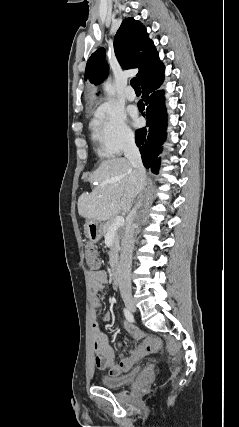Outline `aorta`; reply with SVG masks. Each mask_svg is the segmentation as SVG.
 <instances>
[{
    "mask_svg": "<svg viewBox=\"0 0 239 427\" xmlns=\"http://www.w3.org/2000/svg\"><path fill=\"white\" fill-rule=\"evenodd\" d=\"M104 91L106 92V94L109 96V97H114L115 96V91H114V88H113V86H112V84H111V81H110V79H108L105 83H104Z\"/></svg>",
    "mask_w": 239,
    "mask_h": 427,
    "instance_id": "1",
    "label": "aorta"
}]
</instances>
